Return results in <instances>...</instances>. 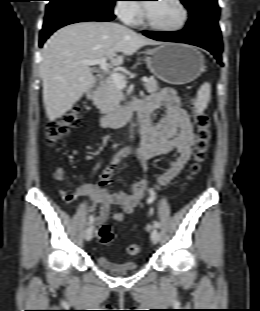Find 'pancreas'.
Segmentation results:
<instances>
[{"mask_svg": "<svg viewBox=\"0 0 260 311\" xmlns=\"http://www.w3.org/2000/svg\"><path fill=\"white\" fill-rule=\"evenodd\" d=\"M124 78L125 75L121 74ZM145 89L153 94L158 91V82L154 78H149L145 83ZM124 99L122 89L118 88L111 78L103 83L96 100L97 108L104 114H110L119 108L120 102Z\"/></svg>", "mask_w": 260, "mask_h": 311, "instance_id": "pancreas-1", "label": "pancreas"}]
</instances>
